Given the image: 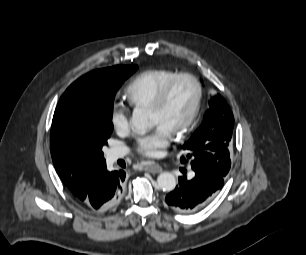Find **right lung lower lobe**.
<instances>
[{"instance_id":"98d812e1","label":"right lung lower lobe","mask_w":306,"mask_h":255,"mask_svg":"<svg viewBox=\"0 0 306 255\" xmlns=\"http://www.w3.org/2000/svg\"><path fill=\"white\" fill-rule=\"evenodd\" d=\"M125 172H109L106 163L91 168L81 179L71 184L74 199L95 212H106L114 207L123 195Z\"/></svg>"}]
</instances>
